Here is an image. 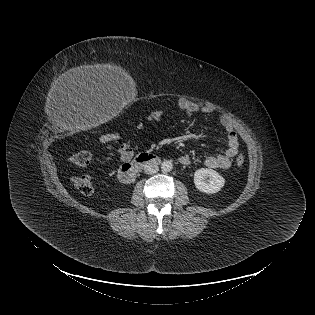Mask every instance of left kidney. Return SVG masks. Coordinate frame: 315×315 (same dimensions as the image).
<instances>
[{"instance_id":"5707ae66","label":"left kidney","mask_w":315,"mask_h":315,"mask_svg":"<svg viewBox=\"0 0 315 315\" xmlns=\"http://www.w3.org/2000/svg\"><path fill=\"white\" fill-rule=\"evenodd\" d=\"M196 188L207 194L217 193L225 184V179L215 170L201 168L194 174Z\"/></svg>"}]
</instances>
